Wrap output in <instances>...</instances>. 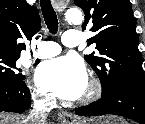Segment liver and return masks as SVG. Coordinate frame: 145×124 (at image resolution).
I'll list each match as a JSON object with an SVG mask.
<instances>
[{
	"mask_svg": "<svg viewBox=\"0 0 145 124\" xmlns=\"http://www.w3.org/2000/svg\"><path fill=\"white\" fill-rule=\"evenodd\" d=\"M0 124H24V120L20 115L0 113Z\"/></svg>",
	"mask_w": 145,
	"mask_h": 124,
	"instance_id": "liver-1",
	"label": "liver"
}]
</instances>
